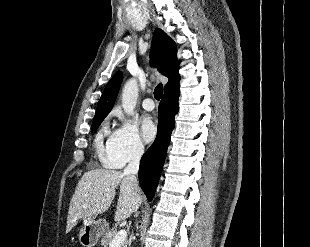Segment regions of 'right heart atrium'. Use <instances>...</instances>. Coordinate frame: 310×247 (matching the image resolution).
Here are the masks:
<instances>
[{"instance_id":"right-heart-atrium-1","label":"right heart atrium","mask_w":310,"mask_h":247,"mask_svg":"<svg viewBox=\"0 0 310 247\" xmlns=\"http://www.w3.org/2000/svg\"><path fill=\"white\" fill-rule=\"evenodd\" d=\"M109 138L107 149L102 157L103 164L111 168H121L128 162L139 160L145 150L135 123L123 119Z\"/></svg>"}]
</instances>
